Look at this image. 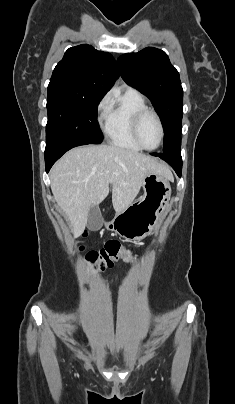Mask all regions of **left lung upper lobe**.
Listing matches in <instances>:
<instances>
[{
  "mask_svg": "<svg viewBox=\"0 0 235 404\" xmlns=\"http://www.w3.org/2000/svg\"><path fill=\"white\" fill-rule=\"evenodd\" d=\"M117 63L123 80L146 95L158 112L164 128L163 153H180L183 89L167 54L147 47L122 55Z\"/></svg>",
  "mask_w": 235,
  "mask_h": 404,
  "instance_id": "5c2ea615",
  "label": "left lung upper lobe"
}]
</instances>
